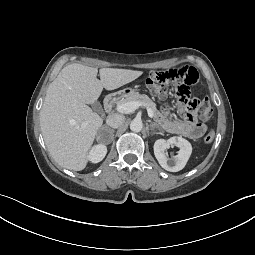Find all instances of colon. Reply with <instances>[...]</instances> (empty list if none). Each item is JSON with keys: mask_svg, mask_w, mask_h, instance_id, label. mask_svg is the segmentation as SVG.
<instances>
[{"mask_svg": "<svg viewBox=\"0 0 255 255\" xmlns=\"http://www.w3.org/2000/svg\"><path fill=\"white\" fill-rule=\"evenodd\" d=\"M198 80L197 71L190 66H183L168 71H151L145 78L144 84L153 93L163 94L170 83H175L180 105L188 112H198L200 118L207 121L212 115V107L208 98H190V86ZM215 138L214 132L206 134L204 140L211 143Z\"/></svg>", "mask_w": 255, "mask_h": 255, "instance_id": "colon-1", "label": "colon"}]
</instances>
